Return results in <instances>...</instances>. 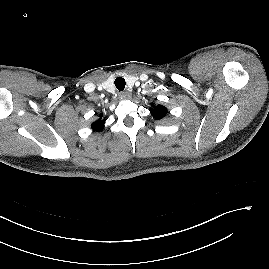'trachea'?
<instances>
[{"instance_id":"obj_1","label":"trachea","mask_w":269,"mask_h":269,"mask_svg":"<svg viewBox=\"0 0 269 269\" xmlns=\"http://www.w3.org/2000/svg\"><path fill=\"white\" fill-rule=\"evenodd\" d=\"M114 83L119 92L124 90L125 85H126L124 78L118 77L115 79Z\"/></svg>"}]
</instances>
